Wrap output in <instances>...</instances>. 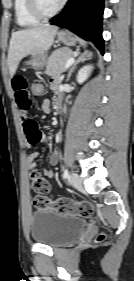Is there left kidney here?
I'll return each instance as SVG.
<instances>
[{
  "instance_id": "left-kidney-1",
  "label": "left kidney",
  "mask_w": 134,
  "mask_h": 281,
  "mask_svg": "<svg viewBox=\"0 0 134 281\" xmlns=\"http://www.w3.org/2000/svg\"><path fill=\"white\" fill-rule=\"evenodd\" d=\"M92 71V66L91 65H85L83 66L77 74V82L79 84H82L86 79L89 77Z\"/></svg>"
}]
</instances>
